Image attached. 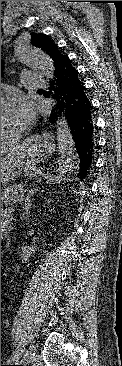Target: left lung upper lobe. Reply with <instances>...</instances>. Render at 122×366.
<instances>
[{
  "mask_svg": "<svg viewBox=\"0 0 122 366\" xmlns=\"http://www.w3.org/2000/svg\"><path fill=\"white\" fill-rule=\"evenodd\" d=\"M31 43L35 47L41 48L43 51L48 54L56 67L60 60L65 56L63 55L59 48L52 42V40L46 34H36L31 33Z\"/></svg>",
  "mask_w": 122,
  "mask_h": 366,
  "instance_id": "left-lung-upper-lobe-1",
  "label": "left lung upper lobe"
}]
</instances>
